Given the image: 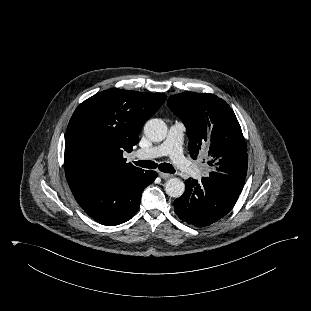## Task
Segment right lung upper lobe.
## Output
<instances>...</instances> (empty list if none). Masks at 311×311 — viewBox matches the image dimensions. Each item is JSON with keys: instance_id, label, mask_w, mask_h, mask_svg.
<instances>
[{"instance_id": "cb5924a9", "label": "right lung upper lobe", "mask_w": 311, "mask_h": 311, "mask_svg": "<svg viewBox=\"0 0 311 311\" xmlns=\"http://www.w3.org/2000/svg\"><path fill=\"white\" fill-rule=\"evenodd\" d=\"M165 100L164 93L109 89L81 103L66 130L67 180L97 171L126 175L142 170L126 163L123 152L132 151L144 123Z\"/></svg>"}]
</instances>
